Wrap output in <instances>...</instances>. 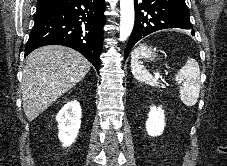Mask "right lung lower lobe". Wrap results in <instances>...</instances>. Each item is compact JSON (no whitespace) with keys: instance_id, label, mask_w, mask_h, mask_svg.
I'll return each instance as SVG.
<instances>
[{"instance_id":"right-lung-lower-lobe-1","label":"right lung lower lobe","mask_w":227,"mask_h":166,"mask_svg":"<svg viewBox=\"0 0 227 166\" xmlns=\"http://www.w3.org/2000/svg\"><path fill=\"white\" fill-rule=\"evenodd\" d=\"M104 10V0H59L37 8L25 56L42 46L63 45L80 52L99 71Z\"/></svg>"}]
</instances>
